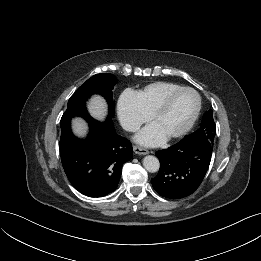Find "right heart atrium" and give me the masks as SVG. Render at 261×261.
Wrapping results in <instances>:
<instances>
[{
	"instance_id": "1",
	"label": "right heart atrium",
	"mask_w": 261,
	"mask_h": 261,
	"mask_svg": "<svg viewBox=\"0 0 261 261\" xmlns=\"http://www.w3.org/2000/svg\"><path fill=\"white\" fill-rule=\"evenodd\" d=\"M117 116L122 127L129 132L137 131L149 120L140 108L133 93L127 92L120 96L117 103Z\"/></svg>"
}]
</instances>
